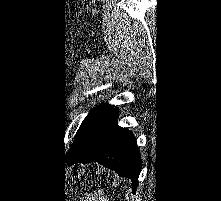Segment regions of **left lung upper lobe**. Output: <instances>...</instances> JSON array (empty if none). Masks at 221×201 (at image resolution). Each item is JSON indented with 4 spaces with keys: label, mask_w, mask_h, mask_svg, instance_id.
I'll list each match as a JSON object with an SVG mask.
<instances>
[{
    "label": "left lung upper lobe",
    "mask_w": 221,
    "mask_h": 201,
    "mask_svg": "<svg viewBox=\"0 0 221 201\" xmlns=\"http://www.w3.org/2000/svg\"><path fill=\"white\" fill-rule=\"evenodd\" d=\"M111 110V105L101 104L100 106L94 108L87 115L76 134L75 141L67 152L66 159L76 155L84 147L89 145L104 118L109 114Z\"/></svg>",
    "instance_id": "1"
}]
</instances>
